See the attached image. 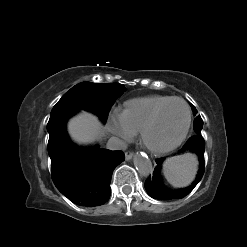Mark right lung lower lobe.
I'll use <instances>...</instances> for the list:
<instances>
[{
  "label": "right lung lower lobe",
  "instance_id": "1",
  "mask_svg": "<svg viewBox=\"0 0 247 247\" xmlns=\"http://www.w3.org/2000/svg\"><path fill=\"white\" fill-rule=\"evenodd\" d=\"M74 113L51 115L47 124L52 180L71 202L85 207L99 206L108 201L113 170L125 156L121 151L98 146L81 148L74 145L65 130L67 119Z\"/></svg>",
  "mask_w": 247,
  "mask_h": 247
}]
</instances>
